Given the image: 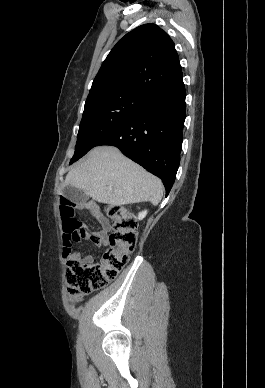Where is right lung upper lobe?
Instances as JSON below:
<instances>
[{"mask_svg": "<svg viewBox=\"0 0 265 388\" xmlns=\"http://www.w3.org/2000/svg\"><path fill=\"white\" fill-rule=\"evenodd\" d=\"M183 79L175 45L155 24L141 25L120 39L104 60L90 94L108 90L146 97Z\"/></svg>", "mask_w": 265, "mask_h": 388, "instance_id": "1", "label": "right lung upper lobe"}]
</instances>
